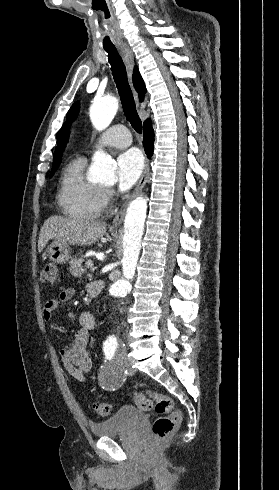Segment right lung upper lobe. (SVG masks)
I'll use <instances>...</instances> for the list:
<instances>
[{"label": "right lung upper lobe", "instance_id": "1", "mask_svg": "<svg viewBox=\"0 0 279 490\" xmlns=\"http://www.w3.org/2000/svg\"><path fill=\"white\" fill-rule=\"evenodd\" d=\"M133 82H134L135 89L138 92L139 98L141 99V101H143V97H144L145 92H146V87H145V84H144V81H143L141 75L139 74L137 67H135V69H134ZM150 123H151L150 120H146L144 122V127L149 125ZM67 141H68L67 126H66V124H64L63 127L61 128V130L59 131V134H58V138H57L58 148H56L55 153H54L52 170L55 168H58V166L61 162L62 151H64L66 144H67Z\"/></svg>", "mask_w": 279, "mask_h": 490}]
</instances>
